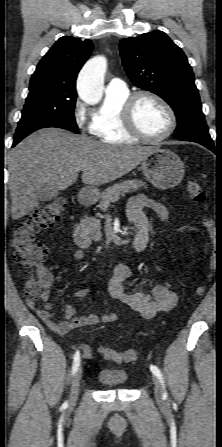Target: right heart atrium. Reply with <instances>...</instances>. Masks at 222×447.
Here are the masks:
<instances>
[{
  "label": "right heart atrium",
  "instance_id": "1",
  "mask_svg": "<svg viewBox=\"0 0 222 447\" xmlns=\"http://www.w3.org/2000/svg\"><path fill=\"white\" fill-rule=\"evenodd\" d=\"M73 116L78 128L83 129L86 122V118L84 110L79 105H76Z\"/></svg>",
  "mask_w": 222,
  "mask_h": 447
}]
</instances>
